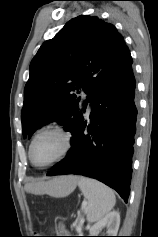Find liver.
<instances>
[{
    "instance_id": "6515ba94",
    "label": "liver",
    "mask_w": 158,
    "mask_h": 237,
    "mask_svg": "<svg viewBox=\"0 0 158 237\" xmlns=\"http://www.w3.org/2000/svg\"><path fill=\"white\" fill-rule=\"evenodd\" d=\"M78 176H61L49 181H38L26 184L25 190L34 194H49L55 196L68 189L71 193L78 184Z\"/></svg>"
}]
</instances>
